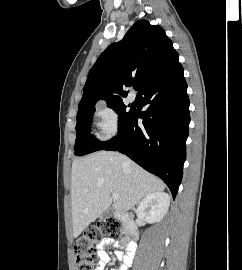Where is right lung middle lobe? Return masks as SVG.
Segmentation results:
<instances>
[{"instance_id":"obj_1","label":"right lung middle lobe","mask_w":242,"mask_h":270,"mask_svg":"<svg viewBox=\"0 0 242 270\" xmlns=\"http://www.w3.org/2000/svg\"><path fill=\"white\" fill-rule=\"evenodd\" d=\"M108 107L113 108L119 115L118 132L123 128L133 110H126L122 100L108 102ZM95 107L79 110L77 113L75 155L82 156L101 150L108 142H101L90 134V124Z\"/></svg>"}]
</instances>
